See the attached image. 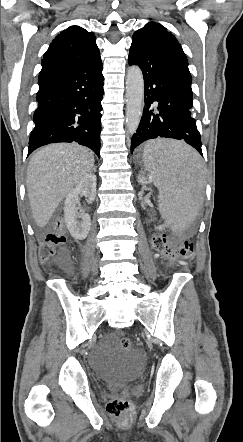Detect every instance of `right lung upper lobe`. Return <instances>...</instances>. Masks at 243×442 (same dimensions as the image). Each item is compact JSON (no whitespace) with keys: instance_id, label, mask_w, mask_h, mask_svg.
I'll return each instance as SVG.
<instances>
[{"instance_id":"obj_1","label":"right lung upper lobe","mask_w":243,"mask_h":442,"mask_svg":"<svg viewBox=\"0 0 243 442\" xmlns=\"http://www.w3.org/2000/svg\"><path fill=\"white\" fill-rule=\"evenodd\" d=\"M99 58L95 35L82 27L70 26L50 44L42 60L40 75Z\"/></svg>"}]
</instances>
